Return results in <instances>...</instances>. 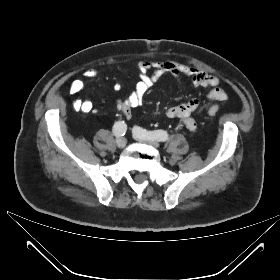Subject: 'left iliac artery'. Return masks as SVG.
<instances>
[{
    "instance_id": "left-iliac-artery-1",
    "label": "left iliac artery",
    "mask_w": 280,
    "mask_h": 280,
    "mask_svg": "<svg viewBox=\"0 0 280 280\" xmlns=\"http://www.w3.org/2000/svg\"><path fill=\"white\" fill-rule=\"evenodd\" d=\"M134 132L142 138L155 139L158 141H166L168 139V133L164 130L146 131L140 127H134Z\"/></svg>"
}]
</instances>
